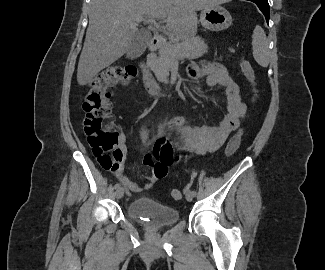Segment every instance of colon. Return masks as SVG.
<instances>
[{
    "label": "colon",
    "mask_w": 325,
    "mask_h": 270,
    "mask_svg": "<svg viewBox=\"0 0 325 270\" xmlns=\"http://www.w3.org/2000/svg\"><path fill=\"white\" fill-rule=\"evenodd\" d=\"M241 70L252 86L253 100L257 98L255 73L251 63L240 60ZM137 74L134 67L113 66L103 70L89 83L84 97L82 109L85 113L84 131L94 156L100 165L107 170H115L119 165L117 153L118 132L113 120L110 89L118 83H127ZM243 131L239 130L229 140L225 150L227 156L232 155L240 146ZM171 198L178 201L182 192L171 191Z\"/></svg>",
    "instance_id": "5ec220e1"
}]
</instances>
